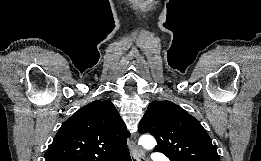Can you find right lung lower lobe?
I'll list each match as a JSON object with an SVG mask.
<instances>
[{
	"label": "right lung lower lobe",
	"instance_id": "right-lung-lower-lobe-1",
	"mask_svg": "<svg viewBox=\"0 0 261 161\" xmlns=\"http://www.w3.org/2000/svg\"><path fill=\"white\" fill-rule=\"evenodd\" d=\"M105 161H131L129 152H123Z\"/></svg>",
	"mask_w": 261,
	"mask_h": 161
}]
</instances>
